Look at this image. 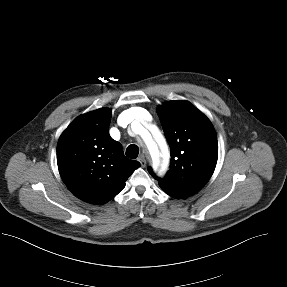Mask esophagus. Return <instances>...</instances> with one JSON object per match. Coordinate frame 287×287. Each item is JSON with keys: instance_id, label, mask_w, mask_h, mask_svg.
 <instances>
[{"instance_id": "esophagus-1", "label": "esophagus", "mask_w": 287, "mask_h": 287, "mask_svg": "<svg viewBox=\"0 0 287 287\" xmlns=\"http://www.w3.org/2000/svg\"><path fill=\"white\" fill-rule=\"evenodd\" d=\"M138 160H139V162H140V164H141L142 167H145V166H146L147 162H146V159H145V157H144L143 155H141V156L138 158Z\"/></svg>"}]
</instances>
